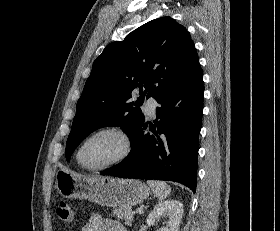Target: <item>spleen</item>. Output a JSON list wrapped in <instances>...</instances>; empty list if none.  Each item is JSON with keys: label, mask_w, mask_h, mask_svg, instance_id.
Masks as SVG:
<instances>
[{"label": "spleen", "mask_w": 280, "mask_h": 231, "mask_svg": "<svg viewBox=\"0 0 280 231\" xmlns=\"http://www.w3.org/2000/svg\"><path fill=\"white\" fill-rule=\"evenodd\" d=\"M147 183L160 201H162V199H166L167 195H169L171 191L170 185L165 183V181H153V179H149Z\"/></svg>", "instance_id": "spleen-1"}]
</instances>
